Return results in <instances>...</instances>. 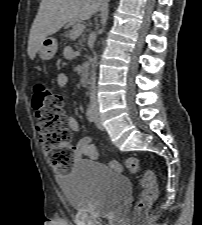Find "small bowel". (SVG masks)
<instances>
[{
	"label": "small bowel",
	"mask_w": 202,
	"mask_h": 225,
	"mask_svg": "<svg viewBox=\"0 0 202 225\" xmlns=\"http://www.w3.org/2000/svg\"><path fill=\"white\" fill-rule=\"evenodd\" d=\"M69 81V75L67 73H60L57 76V85L60 88L66 87ZM67 125L71 132H78L80 130L79 121L75 117L67 118ZM76 157L95 160L98 158V153L91 143L90 137L81 138L76 145Z\"/></svg>",
	"instance_id": "small-bowel-1"
}]
</instances>
